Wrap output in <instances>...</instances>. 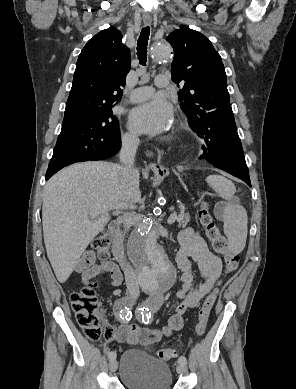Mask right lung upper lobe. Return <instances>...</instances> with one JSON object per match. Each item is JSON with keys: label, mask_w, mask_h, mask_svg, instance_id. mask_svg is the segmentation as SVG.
Segmentation results:
<instances>
[{"label": "right lung upper lobe", "mask_w": 296, "mask_h": 389, "mask_svg": "<svg viewBox=\"0 0 296 389\" xmlns=\"http://www.w3.org/2000/svg\"><path fill=\"white\" fill-rule=\"evenodd\" d=\"M114 27L92 37L79 55L64 118L92 113L119 102L130 70L129 49Z\"/></svg>", "instance_id": "obj_1"}]
</instances>
